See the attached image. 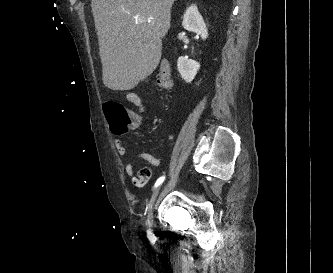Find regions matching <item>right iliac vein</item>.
I'll list each match as a JSON object with an SVG mask.
<instances>
[{"label":"right iliac vein","instance_id":"obj_1","mask_svg":"<svg viewBox=\"0 0 333 273\" xmlns=\"http://www.w3.org/2000/svg\"><path fill=\"white\" fill-rule=\"evenodd\" d=\"M159 192H160V187H158L152 197H151V200L149 202V206H148V216H147V222H148V225L150 227V229L152 230L153 229V226H154V221H153V210H154V205H155V202H156V199L159 195Z\"/></svg>","mask_w":333,"mask_h":273}]
</instances>
